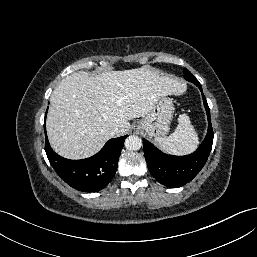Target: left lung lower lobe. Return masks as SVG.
Here are the masks:
<instances>
[{"instance_id":"left-lung-lower-lobe-1","label":"left lung lower lobe","mask_w":257,"mask_h":257,"mask_svg":"<svg viewBox=\"0 0 257 257\" xmlns=\"http://www.w3.org/2000/svg\"><path fill=\"white\" fill-rule=\"evenodd\" d=\"M195 85L202 92L201 84L196 82ZM202 98L207 112L208 132L195 152L186 156L168 155L143 139L144 155L149 171L158 182L165 186L178 188L190 182L203 168L211 152L214 134L210 120V109L203 92Z\"/></svg>"}]
</instances>
